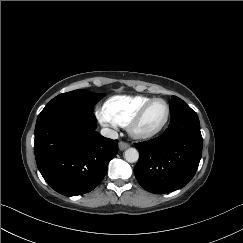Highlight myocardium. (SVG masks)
Instances as JSON below:
<instances>
[{
	"mask_svg": "<svg viewBox=\"0 0 243 243\" xmlns=\"http://www.w3.org/2000/svg\"><path fill=\"white\" fill-rule=\"evenodd\" d=\"M163 102L166 105V117L164 119V121L162 122V124L157 127L154 130L151 131H143L139 128L140 123L146 113V111L156 102ZM170 106L169 103L163 99V98H153L150 101H148L146 104H144L139 110L138 112L131 118V120L129 121L128 125H127V130L129 132V134L136 139H149L152 138L156 135H158L160 132L163 131V129L166 127V125L168 124L169 118H170Z\"/></svg>",
	"mask_w": 243,
	"mask_h": 243,
	"instance_id": "obj_1",
	"label": "myocardium"
}]
</instances>
